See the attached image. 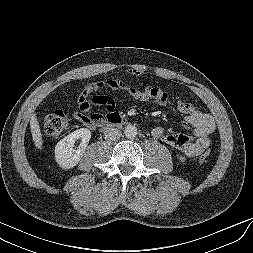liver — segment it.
Instances as JSON below:
<instances>
[{
	"label": "liver",
	"instance_id": "6515ba94",
	"mask_svg": "<svg viewBox=\"0 0 253 253\" xmlns=\"http://www.w3.org/2000/svg\"><path fill=\"white\" fill-rule=\"evenodd\" d=\"M30 129L32 134V140L38 149H42L43 146V138L40 129L39 122L37 120L36 114H33L30 119Z\"/></svg>",
	"mask_w": 253,
	"mask_h": 253
}]
</instances>
